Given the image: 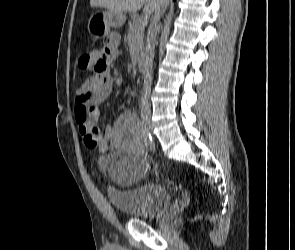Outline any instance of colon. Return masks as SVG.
Masks as SVG:
<instances>
[{
	"mask_svg": "<svg viewBox=\"0 0 295 250\" xmlns=\"http://www.w3.org/2000/svg\"><path fill=\"white\" fill-rule=\"evenodd\" d=\"M93 59L91 54L85 53L79 58V67L82 69H89L92 67ZM76 119L79 124H85L89 119L90 109L84 103H79L76 105Z\"/></svg>",
	"mask_w": 295,
	"mask_h": 250,
	"instance_id": "1",
	"label": "colon"
}]
</instances>
